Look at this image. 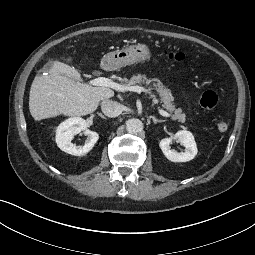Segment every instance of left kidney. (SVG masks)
I'll return each instance as SVG.
<instances>
[{"mask_svg":"<svg viewBox=\"0 0 255 255\" xmlns=\"http://www.w3.org/2000/svg\"><path fill=\"white\" fill-rule=\"evenodd\" d=\"M173 140L180 142L185 147V151L179 153L171 150L170 144ZM159 146L166 158L172 162H187L192 160L197 154L194 136L186 130L178 131L173 137L162 139Z\"/></svg>","mask_w":255,"mask_h":255,"instance_id":"1","label":"left kidney"}]
</instances>
